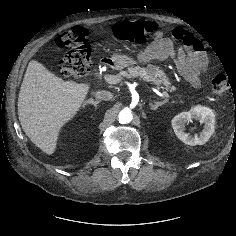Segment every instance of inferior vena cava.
Masks as SVG:
<instances>
[{"label": "inferior vena cava", "instance_id": "inferior-vena-cava-1", "mask_svg": "<svg viewBox=\"0 0 236 236\" xmlns=\"http://www.w3.org/2000/svg\"><path fill=\"white\" fill-rule=\"evenodd\" d=\"M95 97L100 100L109 101L113 98V94L106 90H98L95 93Z\"/></svg>", "mask_w": 236, "mask_h": 236}]
</instances>
